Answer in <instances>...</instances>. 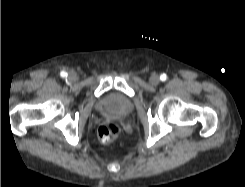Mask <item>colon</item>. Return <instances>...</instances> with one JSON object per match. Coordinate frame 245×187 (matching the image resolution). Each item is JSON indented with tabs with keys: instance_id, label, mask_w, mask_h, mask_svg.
Here are the masks:
<instances>
[{
	"instance_id": "5ec220e1",
	"label": "colon",
	"mask_w": 245,
	"mask_h": 187,
	"mask_svg": "<svg viewBox=\"0 0 245 187\" xmlns=\"http://www.w3.org/2000/svg\"><path fill=\"white\" fill-rule=\"evenodd\" d=\"M121 133L120 125L115 121H105L98 127V135L101 141L111 142L115 140Z\"/></svg>"
}]
</instances>
